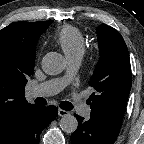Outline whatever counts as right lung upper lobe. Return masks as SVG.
Instances as JSON below:
<instances>
[{"mask_svg":"<svg viewBox=\"0 0 144 144\" xmlns=\"http://www.w3.org/2000/svg\"><path fill=\"white\" fill-rule=\"evenodd\" d=\"M52 22H13L0 31V142L35 106L25 99V85L34 71L37 41Z\"/></svg>","mask_w":144,"mask_h":144,"instance_id":"cb5924a9","label":"right lung upper lobe"}]
</instances>
